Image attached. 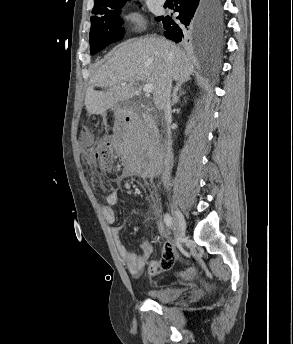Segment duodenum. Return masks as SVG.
<instances>
[{
	"label": "duodenum",
	"instance_id": "1",
	"mask_svg": "<svg viewBox=\"0 0 293 344\" xmlns=\"http://www.w3.org/2000/svg\"><path fill=\"white\" fill-rule=\"evenodd\" d=\"M137 121V118L134 115H120L118 118V124L123 125V124H132ZM145 121L148 127H153V120L150 117H145Z\"/></svg>",
	"mask_w": 293,
	"mask_h": 344
}]
</instances>
